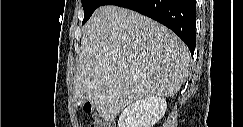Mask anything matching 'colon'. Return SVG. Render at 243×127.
I'll use <instances>...</instances> for the list:
<instances>
[{
  "label": "colon",
  "mask_w": 243,
  "mask_h": 127,
  "mask_svg": "<svg viewBox=\"0 0 243 127\" xmlns=\"http://www.w3.org/2000/svg\"><path fill=\"white\" fill-rule=\"evenodd\" d=\"M83 109L86 113L90 114L92 112V108L89 104H84ZM98 126V122L96 121L91 127H96Z\"/></svg>",
  "instance_id": "colon-1"
}]
</instances>
